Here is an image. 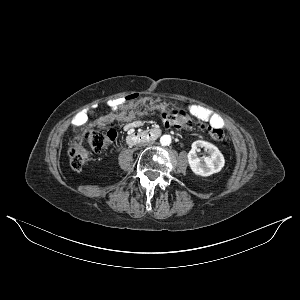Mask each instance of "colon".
Wrapping results in <instances>:
<instances>
[{
  "label": "colon",
  "mask_w": 300,
  "mask_h": 300,
  "mask_svg": "<svg viewBox=\"0 0 300 300\" xmlns=\"http://www.w3.org/2000/svg\"><path fill=\"white\" fill-rule=\"evenodd\" d=\"M129 100L136 99L135 95L128 97ZM152 106H140L139 111L152 110ZM166 127H174L181 129L198 128L205 131L212 139L219 141L223 146H227L228 142L225 138L221 127L204 122L195 118L183 110L157 108L154 109ZM86 139L94 151H102L110 147L116 140V131L114 129H92L85 133ZM69 162L73 170H81L90 160V152L80 144H73L69 148Z\"/></svg>",
  "instance_id": "obj_1"
}]
</instances>
